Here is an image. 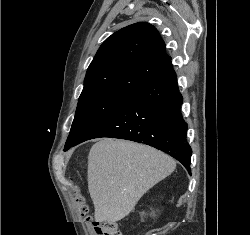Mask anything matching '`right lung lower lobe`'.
I'll return each instance as SVG.
<instances>
[{"label": "right lung lower lobe", "instance_id": "1", "mask_svg": "<svg viewBox=\"0 0 250 235\" xmlns=\"http://www.w3.org/2000/svg\"><path fill=\"white\" fill-rule=\"evenodd\" d=\"M182 95L172 64L135 92L121 107L87 131L77 142L112 137L144 143L177 159L191 174L192 150L181 114Z\"/></svg>", "mask_w": 250, "mask_h": 235}]
</instances>
